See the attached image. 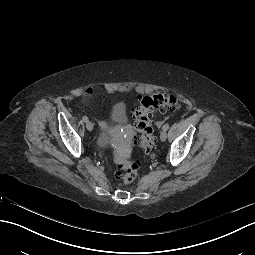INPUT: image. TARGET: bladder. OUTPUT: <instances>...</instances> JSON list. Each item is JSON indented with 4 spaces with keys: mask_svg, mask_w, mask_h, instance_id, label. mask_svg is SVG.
Masks as SVG:
<instances>
[{
    "mask_svg": "<svg viewBox=\"0 0 255 255\" xmlns=\"http://www.w3.org/2000/svg\"><path fill=\"white\" fill-rule=\"evenodd\" d=\"M121 102H114L110 105V111L112 112L114 109L121 112L122 106ZM126 131L129 132V128L126 126ZM121 131L117 133L113 128L110 127L109 123H106L102 129V138L100 139V143L103 147H107L108 145H112L113 139L119 137Z\"/></svg>",
    "mask_w": 255,
    "mask_h": 255,
    "instance_id": "31cf9c89",
    "label": "bladder"
}]
</instances>
